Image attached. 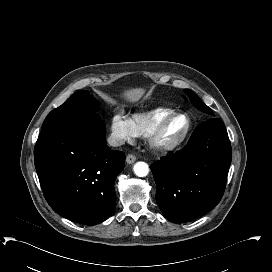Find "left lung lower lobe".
Returning a JSON list of instances; mask_svg holds the SVG:
<instances>
[{"label": "left lung lower lobe", "mask_w": 272, "mask_h": 272, "mask_svg": "<svg viewBox=\"0 0 272 272\" xmlns=\"http://www.w3.org/2000/svg\"><path fill=\"white\" fill-rule=\"evenodd\" d=\"M231 163V144L218 118L202 122L187 145L153 163L156 201L174 223L197 219L221 200Z\"/></svg>", "instance_id": "1"}]
</instances>
